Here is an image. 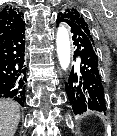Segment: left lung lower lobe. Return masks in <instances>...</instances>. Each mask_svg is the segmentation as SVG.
Returning <instances> with one entry per match:
<instances>
[{
  "label": "left lung lower lobe",
  "mask_w": 117,
  "mask_h": 136,
  "mask_svg": "<svg viewBox=\"0 0 117 136\" xmlns=\"http://www.w3.org/2000/svg\"><path fill=\"white\" fill-rule=\"evenodd\" d=\"M61 22L67 23V18L59 13L57 24ZM71 33L76 49L74 60L78 59V64L72 66L65 88L73 112L81 114L87 110H94L105 113L104 87L96 46L83 31L71 27Z\"/></svg>",
  "instance_id": "obj_1"
}]
</instances>
